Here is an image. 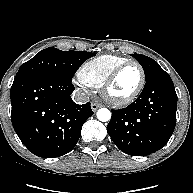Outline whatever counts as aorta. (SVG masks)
Listing matches in <instances>:
<instances>
[{
	"label": "aorta",
	"instance_id": "obj_1",
	"mask_svg": "<svg viewBox=\"0 0 193 193\" xmlns=\"http://www.w3.org/2000/svg\"><path fill=\"white\" fill-rule=\"evenodd\" d=\"M97 118L101 122H107L111 118V112L107 108H101L97 111Z\"/></svg>",
	"mask_w": 193,
	"mask_h": 193
}]
</instances>
